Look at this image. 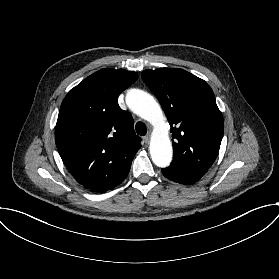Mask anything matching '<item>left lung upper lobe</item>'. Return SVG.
I'll return each instance as SVG.
<instances>
[{
  "label": "left lung upper lobe",
  "instance_id": "5c2ea615",
  "mask_svg": "<svg viewBox=\"0 0 279 279\" xmlns=\"http://www.w3.org/2000/svg\"><path fill=\"white\" fill-rule=\"evenodd\" d=\"M142 79L171 125L175 142L170 168L202 177L218 156L224 128L212 89L183 69L144 70Z\"/></svg>",
  "mask_w": 279,
  "mask_h": 279
}]
</instances>
